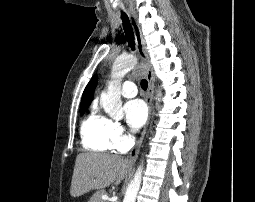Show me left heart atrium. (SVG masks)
Returning a JSON list of instances; mask_svg holds the SVG:
<instances>
[{"label":"left heart atrium","instance_id":"39dd6f15","mask_svg":"<svg viewBox=\"0 0 255 202\" xmlns=\"http://www.w3.org/2000/svg\"><path fill=\"white\" fill-rule=\"evenodd\" d=\"M126 122L132 130H138L147 119V108L142 100L128 101L124 106Z\"/></svg>","mask_w":255,"mask_h":202}]
</instances>
